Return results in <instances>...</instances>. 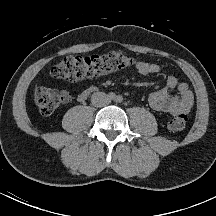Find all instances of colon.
I'll return each instance as SVG.
<instances>
[{"instance_id":"5ec220e1","label":"colon","mask_w":216,"mask_h":216,"mask_svg":"<svg viewBox=\"0 0 216 216\" xmlns=\"http://www.w3.org/2000/svg\"><path fill=\"white\" fill-rule=\"evenodd\" d=\"M134 63L132 57L121 52L92 56L68 55L52 67L50 74L56 79L76 81L125 69ZM70 99L71 96L66 91H55L47 87H39L35 91V103L43 115H50ZM186 123L187 116L180 114L169 121L168 128L178 132L185 128Z\"/></svg>"}]
</instances>
